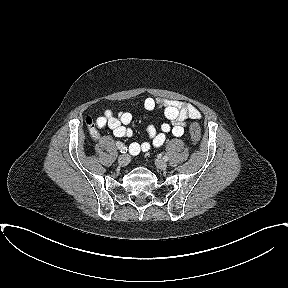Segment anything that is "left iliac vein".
<instances>
[{"mask_svg":"<svg viewBox=\"0 0 288 288\" xmlns=\"http://www.w3.org/2000/svg\"><path fill=\"white\" fill-rule=\"evenodd\" d=\"M155 165L157 166V168H159L161 170H166V168H167V163L161 159H156Z\"/></svg>","mask_w":288,"mask_h":288,"instance_id":"obj_1","label":"left iliac vein"}]
</instances>
